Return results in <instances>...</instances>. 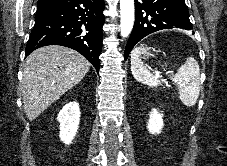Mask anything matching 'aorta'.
Listing matches in <instances>:
<instances>
[{
  "label": "aorta",
  "mask_w": 227,
  "mask_h": 166,
  "mask_svg": "<svg viewBox=\"0 0 227 166\" xmlns=\"http://www.w3.org/2000/svg\"><path fill=\"white\" fill-rule=\"evenodd\" d=\"M121 36L127 37L134 25V0H120Z\"/></svg>",
  "instance_id": "obj_1"
}]
</instances>
